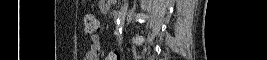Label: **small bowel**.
<instances>
[{"label": "small bowel", "mask_w": 267, "mask_h": 60, "mask_svg": "<svg viewBox=\"0 0 267 60\" xmlns=\"http://www.w3.org/2000/svg\"><path fill=\"white\" fill-rule=\"evenodd\" d=\"M101 40L98 34H92L90 36V46L86 52V60H96L98 55L101 53ZM105 60H121V56L118 52H110Z\"/></svg>", "instance_id": "obj_1"}]
</instances>
